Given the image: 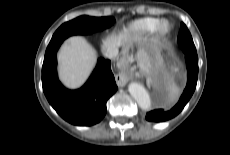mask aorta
Here are the masks:
<instances>
[{"mask_svg":"<svg viewBox=\"0 0 230 155\" xmlns=\"http://www.w3.org/2000/svg\"><path fill=\"white\" fill-rule=\"evenodd\" d=\"M128 90L141 109L146 111L150 109L151 100L143 85L137 82H132L129 84Z\"/></svg>","mask_w":230,"mask_h":155,"instance_id":"1","label":"aorta"}]
</instances>
